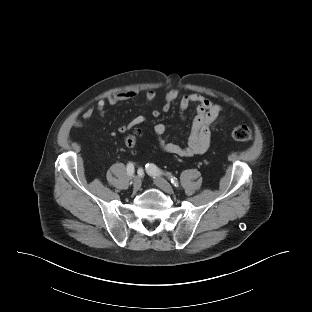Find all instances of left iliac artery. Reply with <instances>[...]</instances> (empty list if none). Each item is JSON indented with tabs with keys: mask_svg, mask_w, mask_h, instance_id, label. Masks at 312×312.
Segmentation results:
<instances>
[{
	"mask_svg": "<svg viewBox=\"0 0 312 312\" xmlns=\"http://www.w3.org/2000/svg\"><path fill=\"white\" fill-rule=\"evenodd\" d=\"M146 170H147V173L152 175V176H159V175H166L170 180H171V183L175 186V187H178L179 186V183L177 181V178L173 177L172 175L168 174V173H165L163 172L161 169H159L156 165L154 164H147L146 165Z\"/></svg>",
	"mask_w": 312,
	"mask_h": 312,
	"instance_id": "obj_1",
	"label": "left iliac artery"
}]
</instances>
